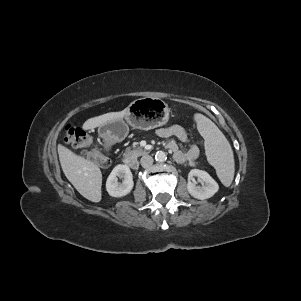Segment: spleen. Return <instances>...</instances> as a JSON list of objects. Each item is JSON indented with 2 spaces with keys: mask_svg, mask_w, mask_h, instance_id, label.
Returning <instances> with one entry per match:
<instances>
[{
  "mask_svg": "<svg viewBox=\"0 0 301 301\" xmlns=\"http://www.w3.org/2000/svg\"><path fill=\"white\" fill-rule=\"evenodd\" d=\"M197 127L206 141L209 163L216 169L222 184L229 187L233 181L235 164L232 148L219 128L206 116L195 114Z\"/></svg>",
  "mask_w": 301,
  "mask_h": 301,
  "instance_id": "spleen-1",
  "label": "spleen"
}]
</instances>
